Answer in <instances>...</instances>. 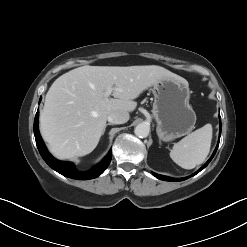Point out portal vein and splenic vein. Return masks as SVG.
Returning a JSON list of instances; mask_svg holds the SVG:
<instances>
[{
	"instance_id": "obj_1",
	"label": "portal vein and splenic vein",
	"mask_w": 247,
	"mask_h": 247,
	"mask_svg": "<svg viewBox=\"0 0 247 247\" xmlns=\"http://www.w3.org/2000/svg\"><path fill=\"white\" fill-rule=\"evenodd\" d=\"M112 90H113L112 87H108V88L106 89L105 95H106L107 97H109L110 94L112 93Z\"/></svg>"
}]
</instances>
